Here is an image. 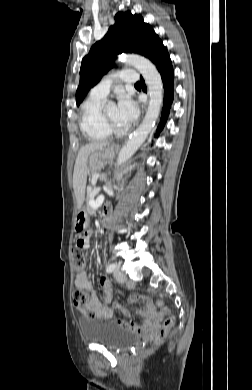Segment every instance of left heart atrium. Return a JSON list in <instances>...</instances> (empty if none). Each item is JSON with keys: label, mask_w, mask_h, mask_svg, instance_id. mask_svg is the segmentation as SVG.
Here are the masks:
<instances>
[{"label": "left heart atrium", "mask_w": 252, "mask_h": 390, "mask_svg": "<svg viewBox=\"0 0 252 390\" xmlns=\"http://www.w3.org/2000/svg\"><path fill=\"white\" fill-rule=\"evenodd\" d=\"M117 116L122 125L133 123L138 117V106L128 95L120 94L117 104Z\"/></svg>", "instance_id": "39dd6f15"}]
</instances>
